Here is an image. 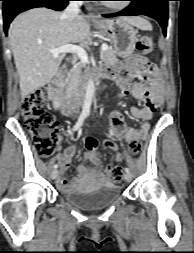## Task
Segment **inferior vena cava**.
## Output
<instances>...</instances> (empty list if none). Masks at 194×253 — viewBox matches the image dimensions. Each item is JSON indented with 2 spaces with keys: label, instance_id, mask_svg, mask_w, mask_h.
<instances>
[{
  "label": "inferior vena cava",
  "instance_id": "obj_1",
  "mask_svg": "<svg viewBox=\"0 0 194 253\" xmlns=\"http://www.w3.org/2000/svg\"><path fill=\"white\" fill-rule=\"evenodd\" d=\"M81 3V1H71L62 13V17L73 22L79 14Z\"/></svg>",
  "mask_w": 194,
  "mask_h": 253
}]
</instances>
